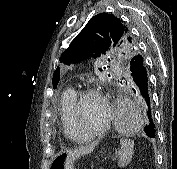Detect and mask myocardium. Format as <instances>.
<instances>
[{"label":"myocardium","mask_w":177,"mask_h":169,"mask_svg":"<svg viewBox=\"0 0 177 169\" xmlns=\"http://www.w3.org/2000/svg\"><path fill=\"white\" fill-rule=\"evenodd\" d=\"M88 96L97 97L102 101V103L106 109V118H105L103 125L98 130L91 132L89 134L81 135L78 133V110H79V107H80L83 99ZM70 117H71L73 130L75 133V139L77 141H80V140H84V139L94 138V137L100 136V135L104 134L105 132H107L108 129L110 128L113 115H112L111 105H110L107 97L101 91H99L93 87H86V88L80 89L76 93L75 100H74L72 107H71Z\"/></svg>","instance_id":"obj_1"}]
</instances>
